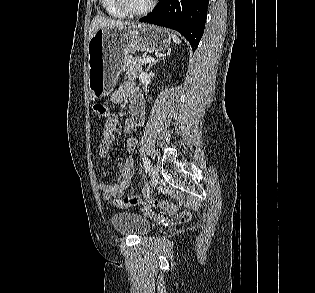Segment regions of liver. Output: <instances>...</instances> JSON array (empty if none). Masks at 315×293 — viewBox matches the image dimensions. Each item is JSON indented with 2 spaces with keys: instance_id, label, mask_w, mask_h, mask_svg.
Instances as JSON below:
<instances>
[{
  "instance_id": "1",
  "label": "liver",
  "mask_w": 315,
  "mask_h": 293,
  "mask_svg": "<svg viewBox=\"0 0 315 293\" xmlns=\"http://www.w3.org/2000/svg\"><path fill=\"white\" fill-rule=\"evenodd\" d=\"M127 25H130V23L97 15V16H95L93 18V20L91 22V26H90V29H89V39L100 28H105V27H123V26H127Z\"/></svg>"
}]
</instances>
